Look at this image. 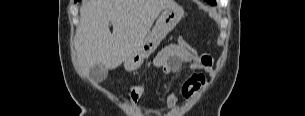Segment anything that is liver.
Here are the masks:
<instances>
[{"label": "liver", "instance_id": "6515ba94", "mask_svg": "<svg viewBox=\"0 0 305 116\" xmlns=\"http://www.w3.org/2000/svg\"><path fill=\"white\" fill-rule=\"evenodd\" d=\"M175 6L174 0H85L75 36L77 72L88 78L96 64L117 68L139 47L159 14Z\"/></svg>", "mask_w": 305, "mask_h": 116}]
</instances>
